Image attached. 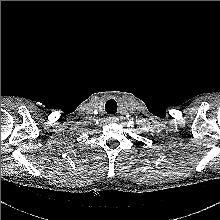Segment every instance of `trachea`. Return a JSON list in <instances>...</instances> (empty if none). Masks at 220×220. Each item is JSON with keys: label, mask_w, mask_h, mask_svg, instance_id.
Segmentation results:
<instances>
[{"label": "trachea", "mask_w": 220, "mask_h": 220, "mask_svg": "<svg viewBox=\"0 0 220 220\" xmlns=\"http://www.w3.org/2000/svg\"><path fill=\"white\" fill-rule=\"evenodd\" d=\"M105 110L108 114H115L117 112V103L114 99H110L105 104Z\"/></svg>", "instance_id": "1"}]
</instances>
